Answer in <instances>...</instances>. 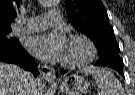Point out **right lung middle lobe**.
<instances>
[{"instance_id": "1", "label": "right lung middle lobe", "mask_w": 135, "mask_h": 95, "mask_svg": "<svg viewBox=\"0 0 135 95\" xmlns=\"http://www.w3.org/2000/svg\"><path fill=\"white\" fill-rule=\"evenodd\" d=\"M10 31L11 30H0V45H10L16 40L15 38L8 39L6 37Z\"/></svg>"}]
</instances>
